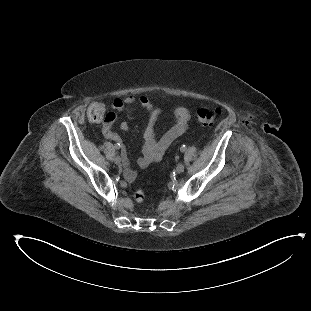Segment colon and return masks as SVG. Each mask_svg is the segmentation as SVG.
<instances>
[{"instance_id": "obj_1", "label": "colon", "mask_w": 311, "mask_h": 311, "mask_svg": "<svg viewBox=\"0 0 311 311\" xmlns=\"http://www.w3.org/2000/svg\"><path fill=\"white\" fill-rule=\"evenodd\" d=\"M109 108L102 102L92 103L87 110V117L91 123L100 124L108 120ZM222 114L219 108H202L198 110L197 119L201 126H210ZM134 198L137 202H142L145 194L141 190L134 192Z\"/></svg>"}]
</instances>
